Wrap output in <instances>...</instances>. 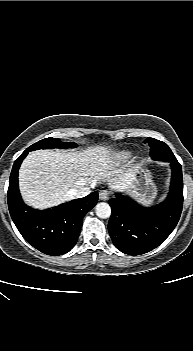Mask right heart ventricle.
<instances>
[{"mask_svg":"<svg viewBox=\"0 0 193 351\" xmlns=\"http://www.w3.org/2000/svg\"><path fill=\"white\" fill-rule=\"evenodd\" d=\"M117 157L120 158V159H127V158L130 157V154H129V153H126V152H122V153H119V154L117 155Z\"/></svg>","mask_w":193,"mask_h":351,"instance_id":"right-heart-ventricle-1","label":"right heart ventricle"}]
</instances>
